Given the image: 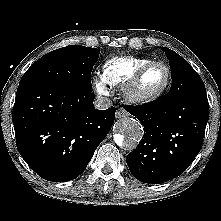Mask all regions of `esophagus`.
<instances>
[{"label":"esophagus","mask_w":221,"mask_h":221,"mask_svg":"<svg viewBox=\"0 0 221 221\" xmlns=\"http://www.w3.org/2000/svg\"><path fill=\"white\" fill-rule=\"evenodd\" d=\"M116 118H123V117H127L129 116V113L127 111H125L124 109L120 108L116 111L115 114Z\"/></svg>","instance_id":"34e87169"}]
</instances>
